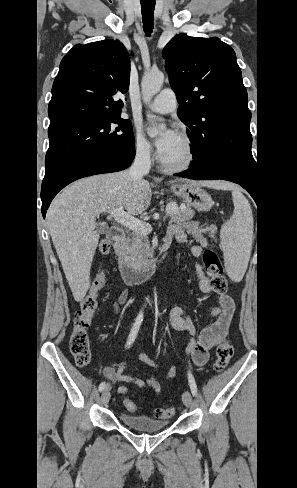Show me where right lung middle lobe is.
I'll use <instances>...</instances> for the list:
<instances>
[{
  "mask_svg": "<svg viewBox=\"0 0 297 488\" xmlns=\"http://www.w3.org/2000/svg\"><path fill=\"white\" fill-rule=\"evenodd\" d=\"M48 136L50 145L45 157V173L83 153L135 145L130 121L120 116L74 124L48 133Z\"/></svg>",
  "mask_w": 297,
  "mask_h": 488,
  "instance_id": "1",
  "label": "right lung middle lobe"
}]
</instances>
